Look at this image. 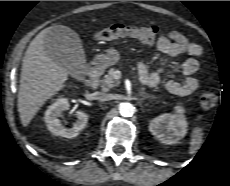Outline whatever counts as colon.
<instances>
[{
  "instance_id": "1",
  "label": "colon",
  "mask_w": 230,
  "mask_h": 186,
  "mask_svg": "<svg viewBox=\"0 0 230 186\" xmlns=\"http://www.w3.org/2000/svg\"><path fill=\"white\" fill-rule=\"evenodd\" d=\"M160 29L157 26H135L123 23H114L95 34L98 41H111L123 38H135L143 43L151 44L155 42ZM200 103L204 108H212L217 103L215 93L205 91L200 95Z\"/></svg>"
}]
</instances>
